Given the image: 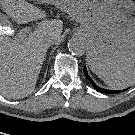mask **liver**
<instances>
[{"label": "liver", "mask_w": 135, "mask_h": 135, "mask_svg": "<svg viewBox=\"0 0 135 135\" xmlns=\"http://www.w3.org/2000/svg\"><path fill=\"white\" fill-rule=\"evenodd\" d=\"M0 8L18 24L42 20L25 38L0 34V94L19 99L34 91L50 47L48 39L52 37L54 43L60 41L63 23L47 19L43 10L26 0H0ZM6 23L9 24L8 19Z\"/></svg>", "instance_id": "liver-1"}]
</instances>
